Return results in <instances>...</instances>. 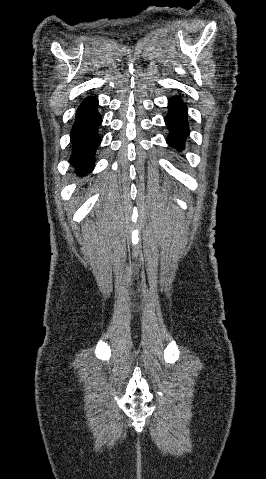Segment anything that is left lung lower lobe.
I'll return each mask as SVG.
<instances>
[{
	"instance_id": "obj_1",
	"label": "left lung lower lobe",
	"mask_w": 266,
	"mask_h": 479,
	"mask_svg": "<svg viewBox=\"0 0 266 479\" xmlns=\"http://www.w3.org/2000/svg\"><path fill=\"white\" fill-rule=\"evenodd\" d=\"M169 114L165 117L170 134L167 143L181 152L185 148V140L189 135L187 122V107L179 97H172L168 101Z\"/></svg>"
}]
</instances>
